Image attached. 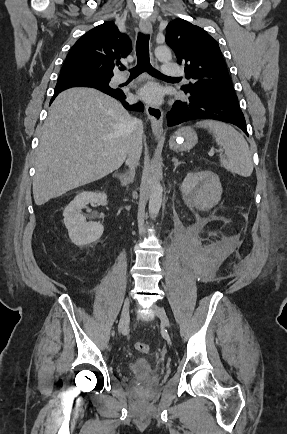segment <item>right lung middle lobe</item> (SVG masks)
Returning <instances> with one entry per match:
<instances>
[{"label":"right lung middle lobe","instance_id":"dd1d6c3e","mask_svg":"<svg viewBox=\"0 0 287 434\" xmlns=\"http://www.w3.org/2000/svg\"><path fill=\"white\" fill-rule=\"evenodd\" d=\"M112 76L94 74L86 71H61L58 81H80L92 86L112 89L109 82Z\"/></svg>","mask_w":287,"mask_h":434}]
</instances>
